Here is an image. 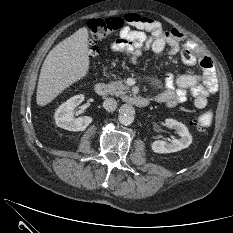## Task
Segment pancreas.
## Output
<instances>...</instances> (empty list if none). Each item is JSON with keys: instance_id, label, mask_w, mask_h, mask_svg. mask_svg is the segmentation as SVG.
Listing matches in <instances>:
<instances>
[{"instance_id": "pancreas-1", "label": "pancreas", "mask_w": 233, "mask_h": 233, "mask_svg": "<svg viewBox=\"0 0 233 233\" xmlns=\"http://www.w3.org/2000/svg\"><path fill=\"white\" fill-rule=\"evenodd\" d=\"M107 90L110 95L123 96L129 92V86L125 84L124 80L111 81L107 84Z\"/></svg>"}]
</instances>
